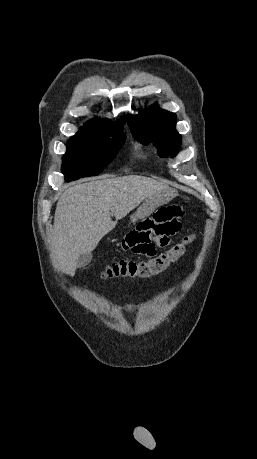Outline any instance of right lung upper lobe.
Listing matches in <instances>:
<instances>
[{"instance_id": "cb5924a9", "label": "right lung upper lobe", "mask_w": 257, "mask_h": 459, "mask_svg": "<svg viewBox=\"0 0 257 459\" xmlns=\"http://www.w3.org/2000/svg\"><path fill=\"white\" fill-rule=\"evenodd\" d=\"M125 122L126 120L124 116L121 117V120L117 121V124L113 123L110 120L94 119L87 122L85 124V127H82V129L96 133H106L118 130L121 131L123 129V125L125 124Z\"/></svg>"}]
</instances>
